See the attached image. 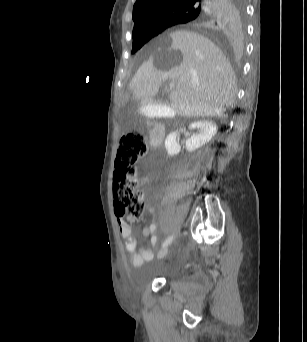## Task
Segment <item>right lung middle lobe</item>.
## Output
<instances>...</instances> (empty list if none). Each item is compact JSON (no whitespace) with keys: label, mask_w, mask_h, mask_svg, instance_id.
<instances>
[{"label":"right lung middle lobe","mask_w":307,"mask_h":342,"mask_svg":"<svg viewBox=\"0 0 307 342\" xmlns=\"http://www.w3.org/2000/svg\"><path fill=\"white\" fill-rule=\"evenodd\" d=\"M191 13H183L178 16L179 19L187 18ZM162 30L147 31L133 35V48L132 54L137 52L144 44H146L151 38L161 33Z\"/></svg>","instance_id":"obj_1"}]
</instances>
